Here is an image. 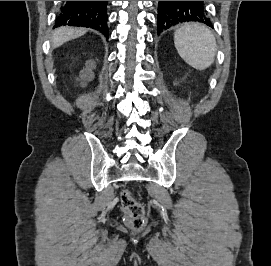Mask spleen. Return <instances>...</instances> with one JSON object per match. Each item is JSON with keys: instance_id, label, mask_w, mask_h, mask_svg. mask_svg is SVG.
Instances as JSON below:
<instances>
[{"instance_id": "spleen-1", "label": "spleen", "mask_w": 271, "mask_h": 266, "mask_svg": "<svg viewBox=\"0 0 271 266\" xmlns=\"http://www.w3.org/2000/svg\"><path fill=\"white\" fill-rule=\"evenodd\" d=\"M174 44L180 57L196 70H205L214 62L216 39L203 24L191 23L177 29Z\"/></svg>"}]
</instances>
